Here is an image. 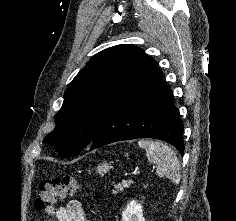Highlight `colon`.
I'll return each instance as SVG.
<instances>
[{"label":"colon","instance_id":"obj_1","mask_svg":"<svg viewBox=\"0 0 236 221\" xmlns=\"http://www.w3.org/2000/svg\"><path fill=\"white\" fill-rule=\"evenodd\" d=\"M79 189V182L72 176L45 180L39 185L35 206L37 209L41 210L47 206L53 205L58 199L72 196Z\"/></svg>","mask_w":236,"mask_h":221}]
</instances>
